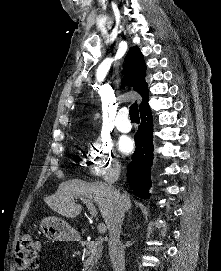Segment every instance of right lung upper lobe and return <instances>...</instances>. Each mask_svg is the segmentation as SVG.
Masks as SVG:
<instances>
[{"label": "right lung upper lobe", "instance_id": "obj_1", "mask_svg": "<svg viewBox=\"0 0 221 271\" xmlns=\"http://www.w3.org/2000/svg\"><path fill=\"white\" fill-rule=\"evenodd\" d=\"M123 72L125 83L132 86L143 97L140 104V112L148 109L149 93L147 83L145 82L146 65L143 55L137 46L129 50Z\"/></svg>", "mask_w": 221, "mask_h": 271}]
</instances>
